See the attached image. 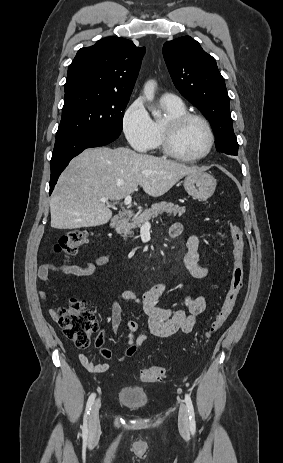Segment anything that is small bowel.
<instances>
[{
  "instance_id": "c3829d8e",
  "label": "small bowel",
  "mask_w": 283,
  "mask_h": 463,
  "mask_svg": "<svg viewBox=\"0 0 283 463\" xmlns=\"http://www.w3.org/2000/svg\"><path fill=\"white\" fill-rule=\"evenodd\" d=\"M183 233V225L180 222L172 224L169 230L171 238H177ZM187 252L184 256V265L188 273L194 279H204L209 275V268L199 264V238L193 234L188 237ZM108 261V256L104 255L88 263L85 266L78 265H57L44 264L38 269L40 281H46L52 272H64L79 276L89 275L94 268L103 265ZM168 292L167 286L163 283L154 284L142 296H138L131 290H124L119 293L117 300L112 304L110 325L114 333H117L121 325V308L119 301H131L138 305L146 318V332L135 337L139 329V324L131 320L127 324L128 329V349L120 357V361L131 356L138 347H141L150 336L169 337L177 332L190 333L196 323V319L206 309V298L203 295L196 297L184 296L182 298L183 308H165L158 305V301ZM44 300L48 299L47 294L42 291ZM52 317L56 318V312L51 310ZM102 337V336H101ZM78 360L81 365L90 373H103L108 370L106 363L95 364L89 360L85 354H79Z\"/></svg>"
}]
</instances>
